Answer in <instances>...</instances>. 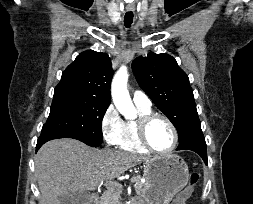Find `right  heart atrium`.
I'll list each match as a JSON object with an SVG mask.
<instances>
[{
  "instance_id": "obj_1",
  "label": "right heart atrium",
  "mask_w": 253,
  "mask_h": 204,
  "mask_svg": "<svg viewBox=\"0 0 253 204\" xmlns=\"http://www.w3.org/2000/svg\"><path fill=\"white\" fill-rule=\"evenodd\" d=\"M104 141L108 145H118L124 130V121L113 105L107 107L100 122Z\"/></svg>"
}]
</instances>
